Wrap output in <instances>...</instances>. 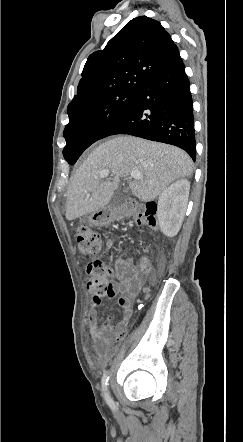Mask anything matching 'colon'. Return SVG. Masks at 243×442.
I'll return each mask as SVG.
<instances>
[{"label":"colon","instance_id":"colon-1","mask_svg":"<svg viewBox=\"0 0 243 442\" xmlns=\"http://www.w3.org/2000/svg\"><path fill=\"white\" fill-rule=\"evenodd\" d=\"M134 219L139 225L156 227L157 204L154 202L135 206ZM77 243L80 253L84 256L92 257L87 265L88 290L97 301L103 298H112L114 290L109 282L111 270L100 258L101 241L98 233L92 231L87 225L80 224L77 227ZM140 269L144 273L150 270V262L147 258H142L139 262ZM125 330L122 332L124 335Z\"/></svg>","mask_w":243,"mask_h":442}]
</instances>
